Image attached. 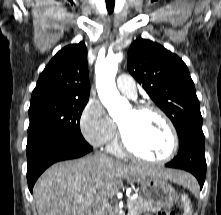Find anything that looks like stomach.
<instances>
[{"instance_id": "obj_1", "label": "stomach", "mask_w": 221, "mask_h": 215, "mask_svg": "<svg viewBox=\"0 0 221 215\" xmlns=\"http://www.w3.org/2000/svg\"><path fill=\"white\" fill-rule=\"evenodd\" d=\"M138 183L145 199L158 209L170 208L179 199L174 188L166 180L157 176H144Z\"/></svg>"}]
</instances>
